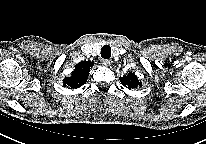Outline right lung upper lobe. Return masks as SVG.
I'll list each match as a JSON object with an SVG mask.
<instances>
[{
	"label": "right lung upper lobe",
	"instance_id": "right-lung-upper-lobe-1",
	"mask_svg": "<svg viewBox=\"0 0 206 144\" xmlns=\"http://www.w3.org/2000/svg\"><path fill=\"white\" fill-rule=\"evenodd\" d=\"M93 66L91 61H82L75 66L71 77L64 79V85L72 89L79 88L86 83L89 75L90 68Z\"/></svg>",
	"mask_w": 206,
	"mask_h": 144
}]
</instances>
